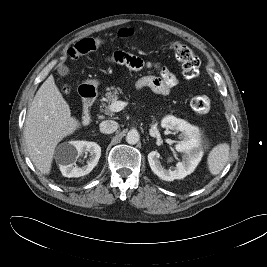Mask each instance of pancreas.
I'll return each mask as SVG.
<instances>
[{
  "label": "pancreas",
  "instance_id": "cf45deb5",
  "mask_svg": "<svg viewBox=\"0 0 267 267\" xmlns=\"http://www.w3.org/2000/svg\"><path fill=\"white\" fill-rule=\"evenodd\" d=\"M120 93H122V90L120 88H116L115 86L107 88L105 97L101 99V112H104L106 115H111L112 111L110 110V105L118 100Z\"/></svg>",
  "mask_w": 267,
  "mask_h": 267
}]
</instances>
